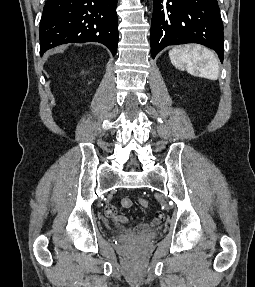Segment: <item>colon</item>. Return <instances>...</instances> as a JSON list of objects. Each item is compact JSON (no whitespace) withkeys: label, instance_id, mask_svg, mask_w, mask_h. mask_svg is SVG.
Wrapping results in <instances>:
<instances>
[{"label":"colon","instance_id":"5ec220e1","mask_svg":"<svg viewBox=\"0 0 255 287\" xmlns=\"http://www.w3.org/2000/svg\"><path fill=\"white\" fill-rule=\"evenodd\" d=\"M139 204L141 205V207L146 208L148 207V201L145 199H140L139 200Z\"/></svg>","mask_w":255,"mask_h":287}]
</instances>
